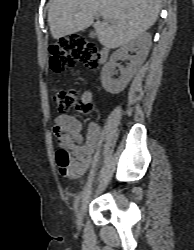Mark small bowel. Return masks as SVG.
<instances>
[{
    "instance_id": "1",
    "label": "small bowel",
    "mask_w": 194,
    "mask_h": 250,
    "mask_svg": "<svg viewBox=\"0 0 194 250\" xmlns=\"http://www.w3.org/2000/svg\"><path fill=\"white\" fill-rule=\"evenodd\" d=\"M92 93L84 91L82 100L90 103ZM82 123L74 116L68 114L59 115L56 118L53 132L58 144L71 151L72 158L68 168L59 166L63 176L75 179L83 175L92 162V154L100 140V127L96 123L88 126L86 138L82 135Z\"/></svg>"
}]
</instances>
